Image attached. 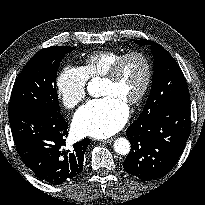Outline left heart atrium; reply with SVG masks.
Wrapping results in <instances>:
<instances>
[{"instance_id": "left-heart-atrium-1", "label": "left heart atrium", "mask_w": 205, "mask_h": 205, "mask_svg": "<svg viewBox=\"0 0 205 205\" xmlns=\"http://www.w3.org/2000/svg\"><path fill=\"white\" fill-rule=\"evenodd\" d=\"M129 116L127 104L114 96L89 101L74 116L75 131L83 136L105 138L120 130Z\"/></svg>"}]
</instances>
